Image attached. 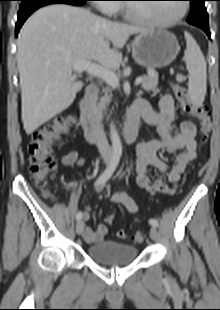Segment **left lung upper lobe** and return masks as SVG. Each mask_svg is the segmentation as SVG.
Masks as SVG:
<instances>
[{
    "label": "left lung upper lobe",
    "instance_id": "obj_1",
    "mask_svg": "<svg viewBox=\"0 0 220 310\" xmlns=\"http://www.w3.org/2000/svg\"><path fill=\"white\" fill-rule=\"evenodd\" d=\"M191 3V12L188 17V23L197 27H208V13L204 6L205 0H189Z\"/></svg>",
    "mask_w": 220,
    "mask_h": 310
}]
</instances>
